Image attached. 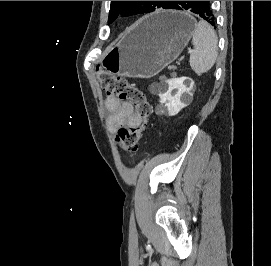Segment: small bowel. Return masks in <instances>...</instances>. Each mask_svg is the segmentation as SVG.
<instances>
[{
  "mask_svg": "<svg viewBox=\"0 0 271 266\" xmlns=\"http://www.w3.org/2000/svg\"><path fill=\"white\" fill-rule=\"evenodd\" d=\"M105 106L110 113L109 126L112 130L121 126L132 127L141 124L142 119L131 103L109 95L105 100Z\"/></svg>",
  "mask_w": 271,
  "mask_h": 266,
  "instance_id": "c3829d8e",
  "label": "small bowel"
}]
</instances>
